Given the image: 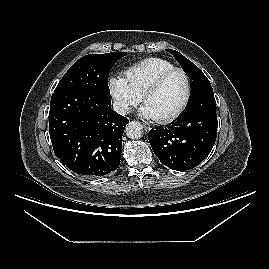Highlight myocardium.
I'll return each instance as SVG.
<instances>
[{
	"instance_id": "obj_1",
	"label": "myocardium",
	"mask_w": 269,
	"mask_h": 269,
	"mask_svg": "<svg viewBox=\"0 0 269 269\" xmlns=\"http://www.w3.org/2000/svg\"><path fill=\"white\" fill-rule=\"evenodd\" d=\"M174 72H181L186 79V84H187V89H186V94L184 97V100L182 102V104L171 114L162 117V118H155V121L160 123V124H166L169 123L171 121H173L174 119H176L177 117H179L187 108L189 102H190V98H191V94H192V81L191 78L188 74V72L181 68V67H173L169 70L164 71L163 73H161L160 75H158L142 92L141 94V101L143 103H145L146 98L153 94L154 92H156L161 85L164 83V81Z\"/></svg>"
}]
</instances>
